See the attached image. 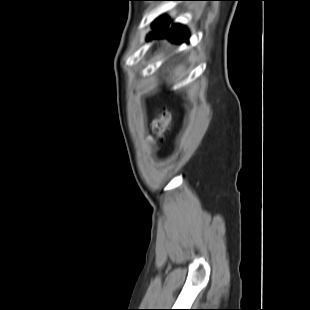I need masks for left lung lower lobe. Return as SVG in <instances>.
Listing matches in <instances>:
<instances>
[{
	"mask_svg": "<svg viewBox=\"0 0 310 310\" xmlns=\"http://www.w3.org/2000/svg\"><path fill=\"white\" fill-rule=\"evenodd\" d=\"M161 37H167L171 41L174 42H184L187 40L188 33L186 32L185 28L183 27H171L167 29L166 27H163L159 30H156L153 35L150 36L149 39L152 38H161Z\"/></svg>",
	"mask_w": 310,
	"mask_h": 310,
	"instance_id": "1",
	"label": "left lung lower lobe"
}]
</instances>
